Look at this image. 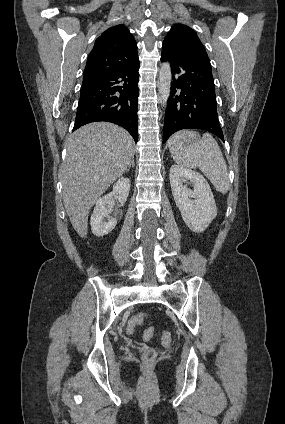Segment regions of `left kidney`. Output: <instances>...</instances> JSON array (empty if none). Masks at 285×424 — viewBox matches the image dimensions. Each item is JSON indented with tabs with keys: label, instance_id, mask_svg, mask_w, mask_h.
<instances>
[{
	"label": "left kidney",
	"instance_id": "left-kidney-1",
	"mask_svg": "<svg viewBox=\"0 0 285 424\" xmlns=\"http://www.w3.org/2000/svg\"><path fill=\"white\" fill-rule=\"evenodd\" d=\"M169 177L176 206L186 225L196 233L205 231L217 216L210 185L200 173L179 165L171 166ZM188 181L193 190L183 185Z\"/></svg>",
	"mask_w": 285,
	"mask_h": 424
}]
</instances>
